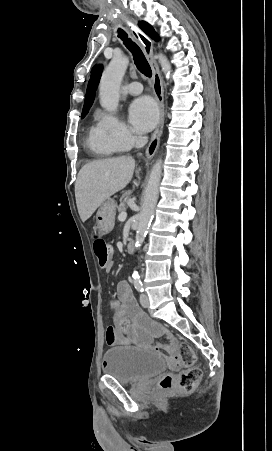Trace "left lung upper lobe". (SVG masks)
Instances as JSON below:
<instances>
[{"mask_svg": "<svg viewBox=\"0 0 272 451\" xmlns=\"http://www.w3.org/2000/svg\"><path fill=\"white\" fill-rule=\"evenodd\" d=\"M139 26L152 39H154V40L159 39L157 33L154 31V29L148 23L142 21V22H139Z\"/></svg>", "mask_w": 272, "mask_h": 451, "instance_id": "obj_1", "label": "left lung upper lobe"}]
</instances>
